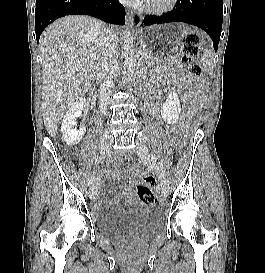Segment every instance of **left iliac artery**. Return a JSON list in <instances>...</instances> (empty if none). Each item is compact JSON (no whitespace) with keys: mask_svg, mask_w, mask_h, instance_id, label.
Wrapping results in <instances>:
<instances>
[{"mask_svg":"<svg viewBox=\"0 0 265 273\" xmlns=\"http://www.w3.org/2000/svg\"><path fill=\"white\" fill-rule=\"evenodd\" d=\"M138 137H139L140 140H142L144 142L147 141V136L144 133H142V132H139ZM158 170H159L160 175L164 176V174H165V168H164V166H163L162 163H160V165L158 167Z\"/></svg>","mask_w":265,"mask_h":273,"instance_id":"44dca946","label":"left iliac artery"}]
</instances>
